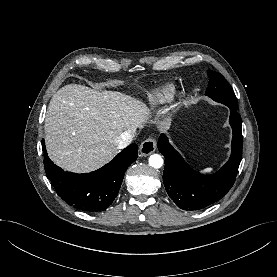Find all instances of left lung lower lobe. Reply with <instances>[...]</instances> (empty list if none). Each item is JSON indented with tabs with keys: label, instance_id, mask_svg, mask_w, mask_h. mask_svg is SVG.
<instances>
[{
	"label": "left lung lower lobe",
	"instance_id": "left-lung-lower-lobe-1",
	"mask_svg": "<svg viewBox=\"0 0 277 277\" xmlns=\"http://www.w3.org/2000/svg\"><path fill=\"white\" fill-rule=\"evenodd\" d=\"M230 108L233 130L232 151L228 162L216 173L202 175L192 169L169 143L166 135L158 140L165 157L163 183L169 197L187 211L201 210L221 199L233 186L242 158V123L236 108Z\"/></svg>",
	"mask_w": 277,
	"mask_h": 277
}]
</instances>
